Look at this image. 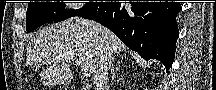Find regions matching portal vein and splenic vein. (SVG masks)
I'll list each match as a JSON object with an SVG mask.
<instances>
[{
  "instance_id": "obj_1",
  "label": "portal vein and splenic vein",
  "mask_w": 216,
  "mask_h": 90,
  "mask_svg": "<svg viewBox=\"0 0 216 90\" xmlns=\"http://www.w3.org/2000/svg\"><path fill=\"white\" fill-rule=\"evenodd\" d=\"M75 64H76V66H81L82 62H80V60H79V62H75ZM82 74H83V72H82ZM81 78H89V74H83V76H81Z\"/></svg>"
}]
</instances>
